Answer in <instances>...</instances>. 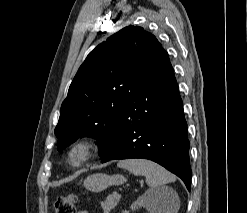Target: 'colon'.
<instances>
[{
	"label": "colon",
	"instance_id": "obj_1",
	"mask_svg": "<svg viewBox=\"0 0 247 213\" xmlns=\"http://www.w3.org/2000/svg\"><path fill=\"white\" fill-rule=\"evenodd\" d=\"M77 198L74 194L60 197L55 202V213H75Z\"/></svg>",
	"mask_w": 247,
	"mask_h": 213
}]
</instances>
